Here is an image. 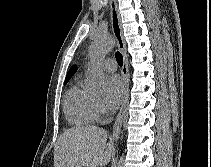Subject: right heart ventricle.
Wrapping results in <instances>:
<instances>
[{
  "label": "right heart ventricle",
  "instance_id": "e07e8e85",
  "mask_svg": "<svg viewBox=\"0 0 211 167\" xmlns=\"http://www.w3.org/2000/svg\"><path fill=\"white\" fill-rule=\"evenodd\" d=\"M64 113L66 119L74 125H89L96 119L94 98L84 88L80 77L76 78L65 95Z\"/></svg>",
  "mask_w": 211,
  "mask_h": 167
}]
</instances>
